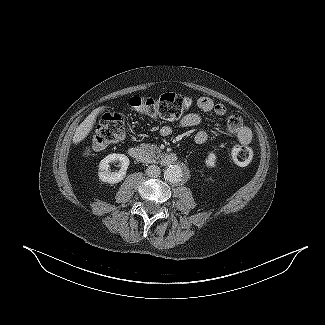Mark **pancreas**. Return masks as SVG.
Returning a JSON list of instances; mask_svg holds the SVG:
<instances>
[{
	"instance_id": "cf45deb5",
	"label": "pancreas",
	"mask_w": 325,
	"mask_h": 325,
	"mask_svg": "<svg viewBox=\"0 0 325 325\" xmlns=\"http://www.w3.org/2000/svg\"><path fill=\"white\" fill-rule=\"evenodd\" d=\"M142 147L151 155L152 157H160L161 150L157 145L153 144H142Z\"/></svg>"
}]
</instances>
